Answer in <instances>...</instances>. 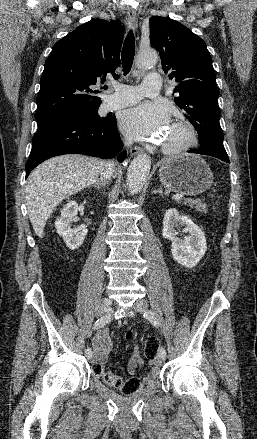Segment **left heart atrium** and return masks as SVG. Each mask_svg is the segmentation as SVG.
Segmentation results:
<instances>
[{
	"mask_svg": "<svg viewBox=\"0 0 257 439\" xmlns=\"http://www.w3.org/2000/svg\"><path fill=\"white\" fill-rule=\"evenodd\" d=\"M167 108L159 103L144 102L128 108L120 114L121 130L135 139L157 138L169 126Z\"/></svg>",
	"mask_w": 257,
	"mask_h": 439,
	"instance_id": "left-heart-atrium-1",
	"label": "left heart atrium"
}]
</instances>
